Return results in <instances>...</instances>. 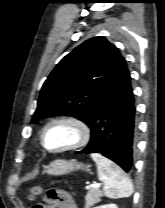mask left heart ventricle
I'll list each match as a JSON object with an SVG mask.
<instances>
[{"instance_id": "b2bd125f", "label": "left heart ventricle", "mask_w": 165, "mask_h": 208, "mask_svg": "<svg viewBox=\"0 0 165 208\" xmlns=\"http://www.w3.org/2000/svg\"><path fill=\"white\" fill-rule=\"evenodd\" d=\"M77 137L74 127L66 123H58L46 131L44 141L48 148L56 149L73 143Z\"/></svg>"}]
</instances>
